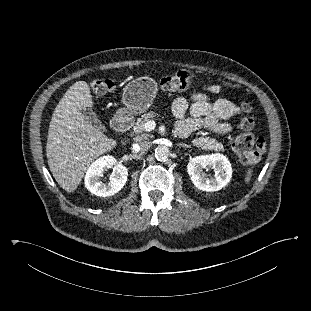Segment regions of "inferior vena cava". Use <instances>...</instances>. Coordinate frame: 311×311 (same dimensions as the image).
I'll return each instance as SVG.
<instances>
[{
    "instance_id": "inferior-vena-cava-1",
    "label": "inferior vena cava",
    "mask_w": 311,
    "mask_h": 311,
    "mask_svg": "<svg viewBox=\"0 0 311 311\" xmlns=\"http://www.w3.org/2000/svg\"><path fill=\"white\" fill-rule=\"evenodd\" d=\"M150 147V142L149 141H143L140 144H134L132 147V152H139L141 149L142 150H148Z\"/></svg>"
}]
</instances>
